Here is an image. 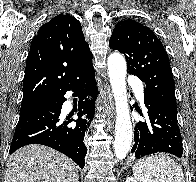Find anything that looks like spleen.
Wrapping results in <instances>:
<instances>
[{
    "instance_id": "spleen-1",
    "label": "spleen",
    "mask_w": 196,
    "mask_h": 182,
    "mask_svg": "<svg viewBox=\"0 0 196 182\" xmlns=\"http://www.w3.org/2000/svg\"><path fill=\"white\" fill-rule=\"evenodd\" d=\"M132 170L139 182H185L180 165L163 154L140 159Z\"/></svg>"
}]
</instances>
